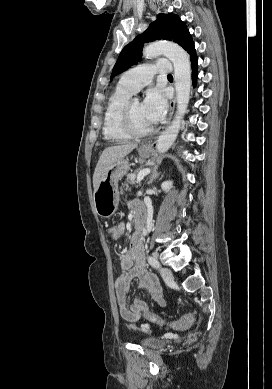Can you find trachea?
Wrapping results in <instances>:
<instances>
[{"mask_svg": "<svg viewBox=\"0 0 272 389\" xmlns=\"http://www.w3.org/2000/svg\"><path fill=\"white\" fill-rule=\"evenodd\" d=\"M167 77H171L172 78L173 76L171 74H169Z\"/></svg>", "mask_w": 272, "mask_h": 389, "instance_id": "1", "label": "trachea"}]
</instances>
